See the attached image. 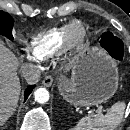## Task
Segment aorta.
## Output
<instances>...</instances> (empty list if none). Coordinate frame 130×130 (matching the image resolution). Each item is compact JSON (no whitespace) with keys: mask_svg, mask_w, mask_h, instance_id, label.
Masks as SVG:
<instances>
[{"mask_svg":"<svg viewBox=\"0 0 130 130\" xmlns=\"http://www.w3.org/2000/svg\"><path fill=\"white\" fill-rule=\"evenodd\" d=\"M34 98L38 103H46L49 100V92L46 88H38L34 92Z\"/></svg>","mask_w":130,"mask_h":130,"instance_id":"1","label":"aorta"}]
</instances>
